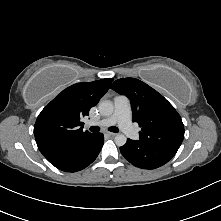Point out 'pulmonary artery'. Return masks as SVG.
Masks as SVG:
<instances>
[{"mask_svg":"<svg viewBox=\"0 0 221 221\" xmlns=\"http://www.w3.org/2000/svg\"><path fill=\"white\" fill-rule=\"evenodd\" d=\"M116 123L129 138L134 140L138 138V133L131 122L130 100L124 95H118L114 98V112L111 116L98 122L89 121L88 125L108 127Z\"/></svg>","mask_w":221,"mask_h":221,"instance_id":"obj_1","label":"pulmonary artery"}]
</instances>
